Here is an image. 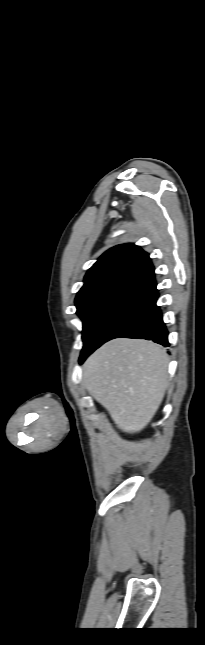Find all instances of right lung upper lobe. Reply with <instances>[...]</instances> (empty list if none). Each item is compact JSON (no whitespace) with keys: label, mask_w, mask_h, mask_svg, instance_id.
I'll return each instance as SVG.
<instances>
[{"label":"right lung upper lobe","mask_w":205,"mask_h":645,"mask_svg":"<svg viewBox=\"0 0 205 645\" xmlns=\"http://www.w3.org/2000/svg\"><path fill=\"white\" fill-rule=\"evenodd\" d=\"M84 282L76 304L119 289L151 291L156 287L154 266L148 253L134 244H122L106 251L87 271Z\"/></svg>","instance_id":"obj_1"}]
</instances>
